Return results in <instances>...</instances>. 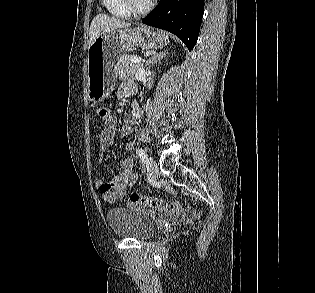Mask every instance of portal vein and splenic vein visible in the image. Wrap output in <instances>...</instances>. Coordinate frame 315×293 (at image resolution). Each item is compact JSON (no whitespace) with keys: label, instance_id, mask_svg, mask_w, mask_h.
I'll use <instances>...</instances> for the list:
<instances>
[{"label":"portal vein and splenic vein","instance_id":"18ae733b","mask_svg":"<svg viewBox=\"0 0 315 293\" xmlns=\"http://www.w3.org/2000/svg\"><path fill=\"white\" fill-rule=\"evenodd\" d=\"M145 60H142L140 57H132L130 59V62L131 63H141V62H144Z\"/></svg>","mask_w":315,"mask_h":293}]
</instances>
